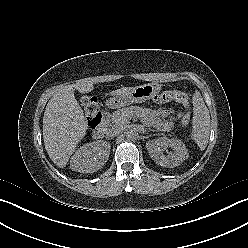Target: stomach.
<instances>
[{
	"label": "stomach",
	"mask_w": 248,
	"mask_h": 248,
	"mask_svg": "<svg viewBox=\"0 0 248 248\" xmlns=\"http://www.w3.org/2000/svg\"><path fill=\"white\" fill-rule=\"evenodd\" d=\"M161 90V85L154 82L132 88L120 95H115L107 101L110 108H120L133 103H142L151 99Z\"/></svg>",
	"instance_id": "stomach-1"
}]
</instances>
